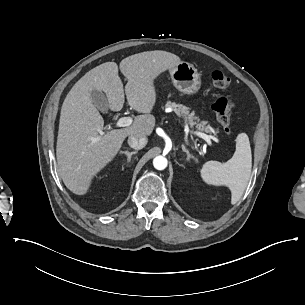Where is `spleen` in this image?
<instances>
[{
	"instance_id": "3e777b00",
	"label": "spleen",
	"mask_w": 305,
	"mask_h": 305,
	"mask_svg": "<svg viewBox=\"0 0 305 305\" xmlns=\"http://www.w3.org/2000/svg\"><path fill=\"white\" fill-rule=\"evenodd\" d=\"M236 151L226 163L208 161L201 169V177L209 185H225L231 190V203L242 197L251 175L252 154L249 138L240 133L236 138Z\"/></svg>"
}]
</instances>
